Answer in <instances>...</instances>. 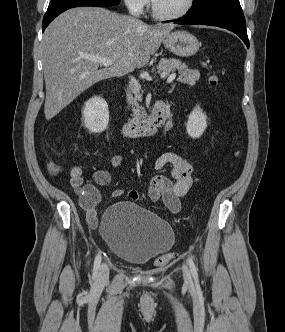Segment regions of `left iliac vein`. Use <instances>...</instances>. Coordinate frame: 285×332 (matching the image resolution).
<instances>
[{
  "mask_svg": "<svg viewBox=\"0 0 285 332\" xmlns=\"http://www.w3.org/2000/svg\"><path fill=\"white\" fill-rule=\"evenodd\" d=\"M182 270H183V277H184V280L187 284H191L192 283V278H191V274H190V271L188 269V266L186 264L183 265L182 267Z\"/></svg>",
  "mask_w": 285,
  "mask_h": 332,
  "instance_id": "1",
  "label": "left iliac vein"
}]
</instances>
